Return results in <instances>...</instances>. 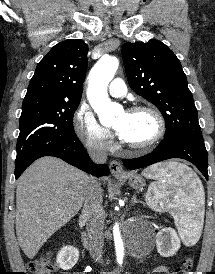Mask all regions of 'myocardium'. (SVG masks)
Segmentation results:
<instances>
[{"label": "myocardium", "mask_w": 215, "mask_h": 274, "mask_svg": "<svg viewBox=\"0 0 215 274\" xmlns=\"http://www.w3.org/2000/svg\"><path fill=\"white\" fill-rule=\"evenodd\" d=\"M126 112L127 113L147 112L154 117L157 125V130L154 136L144 143L133 144L123 140V143L128 148L135 151H147L153 148L164 137L166 133V122L161 112L154 106L148 105V104L134 105L128 108Z\"/></svg>", "instance_id": "f54148a6"}]
</instances>
